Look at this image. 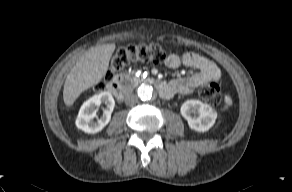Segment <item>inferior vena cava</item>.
<instances>
[{"instance_id":"602c4592","label":"inferior vena cava","mask_w":292,"mask_h":192,"mask_svg":"<svg viewBox=\"0 0 292 192\" xmlns=\"http://www.w3.org/2000/svg\"><path fill=\"white\" fill-rule=\"evenodd\" d=\"M138 102V97L134 94H129L125 98V104L128 106H133Z\"/></svg>"}]
</instances>
